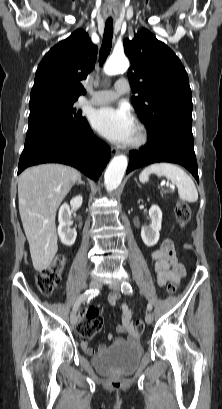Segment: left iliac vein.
Wrapping results in <instances>:
<instances>
[{
    "mask_svg": "<svg viewBox=\"0 0 222 409\" xmlns=\"http://www.w3.org/2000/svg\"><path fill=\"white\" fill-rule=\"evenodd\" d=\"M109 287L114 292H117V293L120 292V282L119 281H115L109 284ZM145 321L147 324H151L153 321V315L151 313H147L145 316Z\"/></svg>",
    "mask_w": 222,
    "mask_h": 409,
    "instance_id": "obj_1",
    "label": "left iliac vein"
}]
</instances>
